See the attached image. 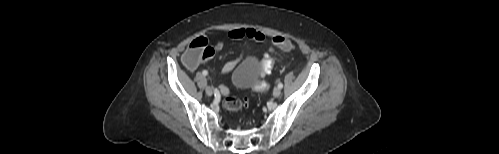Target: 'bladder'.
I'll return each instance as SVG.
<instances>
[{
    "instance_id": "31cf9c89",
    "label": "bladder",
    "mask_w": 499,
    "mask_h": 154,
    "mask_svg": "<svg viewBox=\"0 0 499 154\" xmlns=\"http://www.w3.org/2000/svg\"><path fill=\"white\" fill-rule=\"evenodd\" d=\"M262 66L253 58H246L234 71L232 75V86L235 89L243 90L253 86L261 77Z\"/></svg>"
}]
</instances>
